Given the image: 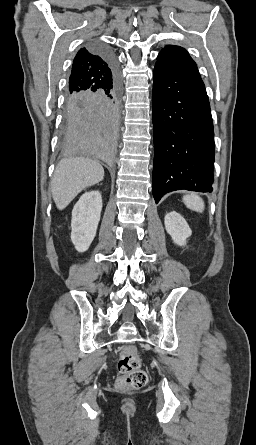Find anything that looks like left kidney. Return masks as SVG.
Instances as JSON below:
<instances>
[{"instance_id": "5707ae66", "label": "left kidney", "mask_w": 256, "mask_h": 445, "mask_svg": "<svg viewBox=\"0 0 256 445\" xmlns=\"http://www.w3.org/2000/svg\"><path fill=\"white\" fill-rule=\"evenodd\" d=\"M165 228L171 236L173 242L179 246L186 244V239L192 232L186 220L177 212H170L165 215Z\"/></svg>"}]
</instances>
